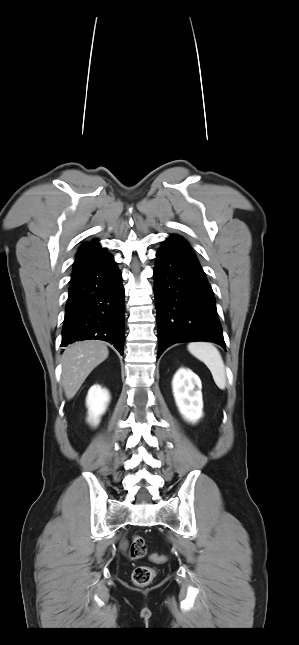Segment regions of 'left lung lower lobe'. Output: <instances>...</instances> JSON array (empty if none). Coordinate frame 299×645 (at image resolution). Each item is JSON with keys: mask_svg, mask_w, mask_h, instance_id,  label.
Instances as JSON below:
<instances>
[{"mask_svg": "<svg viewBox=\"0 0 299 645\" xmlns=\"http://www.w3.org/2000/svg\"><path fill=\"white\" fill-rule=\"evenodd\" d=\"M158 357L171 345L210 341L225 348L215 298L190 245L171 235L156 254Z\"/></svg>", "mask_w": 299, "mask_h": 645, "instance_id": "1", "label": "left lung lower lobe"}]
</instances>
